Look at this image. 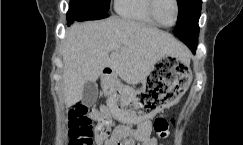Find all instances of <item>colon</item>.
I'll use <instances>...</instances> for the list:
<instances>
[{
  "label": "colon",
  "instance_id": "colon-1",
  "mask_svg": "<svg viewBox=\"0 0 243 145\" xmlns=\"http://www.w3.org/2000/svg\"><path fill=\"white\" fill-rule=\"evenodd\" d=\"M93 110L82 103L76 104L69 111L70 145H92L93 137H106L110 134V119L103 117L97 124H93ZM174 123V120H171ZM169 122L164 118L154 121V130L158 134L165 135Z\"/></svg>",
  "mask_w": 243,
  "mask_h": 145
}]
</instances>
